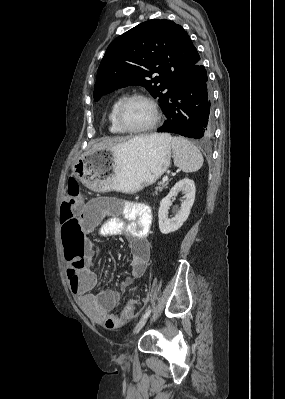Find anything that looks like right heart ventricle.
<instances>
[{"label": "right heart ventricle", "mask_w": 285, "mask_h": 399, "mask_svg": "<svg viewBox=\"0 0 285 399\" xmlns=\"http://www.w3.org/2000/svg\"><path fill=\"white\" fill-rule=\"evenodd\" d=\"M124 98H125V95L118 96L116 99H114V101L111 103V106H110V110L108 113V124H109V130L113 134L126 133L120 129V127L118 126V124L116 122V110Z\"/></svg>", "instance_id": "e07e8e85"}]
</instances>
